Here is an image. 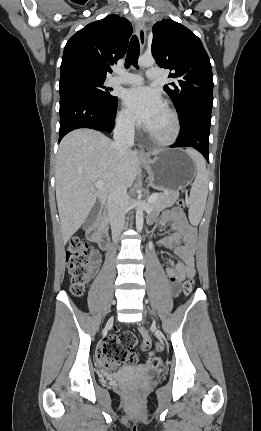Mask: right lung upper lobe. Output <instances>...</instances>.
<instances>
[{
  "instance_id": "obj_1",
  "label": "right lung upper lobe",
  "mask_w": 261,
  "mask_h": 431,
  "mask_svg": "<svg viewBox=\"0 0 261 431\" xmlns=\"http://www.w3.org/2000/svg\"><path fill=\"white\" fill-rule=\"evenodd\" d=\"M131 33V23L118 15L88 24L68 40L60 75L84 71L106 78L112 72L109 66L124 56Z\"/></svg>"
}]
</instances>
